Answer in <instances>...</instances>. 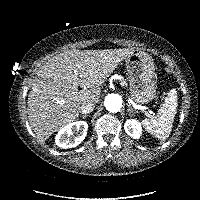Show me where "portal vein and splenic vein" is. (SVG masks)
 Here are the masks:
<instances>
[{
	"mask_svg": "<svg viewBox=\"0 0 200 200\" xmlns=\"http://www.w3.org/2000/svg\"><path fill=\"white\" fill-rule=\"evenodd\" d=\"M138 109H143L142 107H139ZM152 112L150 111V114H151Z\"/></svg>",
	"mask_w": 200,
	"mask_h": 200,
	"instance_id": "portal-vein-and-splenic-vein-1",
	"label": "portal vein and splenic vein"
}]
</instances>
